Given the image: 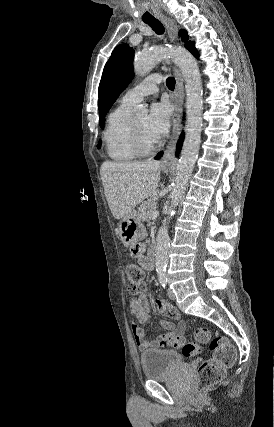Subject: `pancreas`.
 Masks as SVG:
<instances>
[{
	"label": "pancreas",
	"instance_id": "obj_1",
	"mask_svg": "<svg viewBox=\"0 0 274 427\" xmlns=\"http://www.w3.org/2000/svg\"><path fill=\"white\" fill-rule=\"evenodd\" d=\"M156 206L157 198H148L146 202H142L137 214L140 215V219H151Z\"/></svg>",
	"mask_w": 274,
	"mask_h": 427
}]
</instances>
